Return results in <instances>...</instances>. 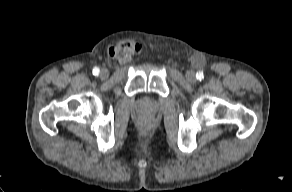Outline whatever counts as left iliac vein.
<instances>
[{
  "instance_id": "left-iliac-vein-1",
  "label": "left iliac vein",
  "mask_w": 292,
  "mask_h": 192,
  "mask_svg": "<svg viewBox=\"0 0 292 192\" xmlns=\"http://www.w3.org/2000/svg\"><path fill=\"white\" fill-rule=\"evenodd\" d=\"M186 78L189 82L194 83L196 82V75L193 71L189 70L186 73Z\"/></svg>"
}]
</instances>
